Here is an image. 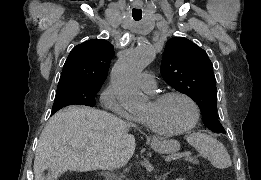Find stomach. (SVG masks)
I'll return each mask as SVG.
<instances>
[{"mask_svg":"<svg viewBox=\"0 0 261 180\" xmlns=\"http://www.w3.org/2000/svg\"><path fill=\"white\" fill-rule=\"evenodd\" d=\"M151 148L160 154H174L180 149V143L172 139H155Z\"/></svg>","mask_w":261,"mask_h":180,"instance_id":"0dacf381","label":"stomach"}]
</instances>
